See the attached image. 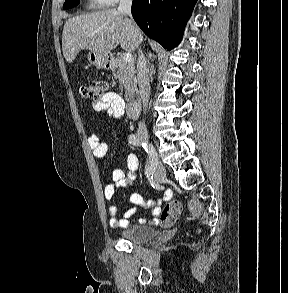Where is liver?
I'll use <instances>...</instances> for the list:
<instances>
[{"mask_svg":"<svg viewBox=\"0 0 288 293\" xmlns=\"http://www.w3.org/2000/svg\"><path fill=\"white\" fill-rule=\"evenodd\" d=\"M141 41L140 30L136 33L129 19L116 9L69 18L62 32V50L68 63H72L81 50L109 54L120 44L131 53Z\"/></svg>","mask_w":288,"mask_h":293,"instance_id":"6515ba94","label":"liver"}]
</instances>
